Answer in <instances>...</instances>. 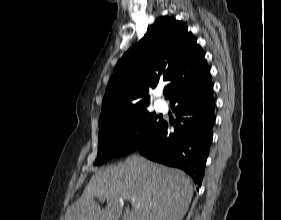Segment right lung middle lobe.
Returning <instances> with one entry per match:
<instances>
[{"label":"right lung middle lobe","instance_id":"obj_1","mask_svg":"<svg viewBox=\"0 0 281 220\" xmlns=\"http://www.w3.org/2000/svg\"><path fill=\"white\" fill-rule=\"evenodd\" d=\"M162 123L163 120L155 113L143 109L100 125L95 164L99 165L108 158L135 151L160 128Z\"/></svg>","mask_w":281,"mask_h":220}]
</instances>
